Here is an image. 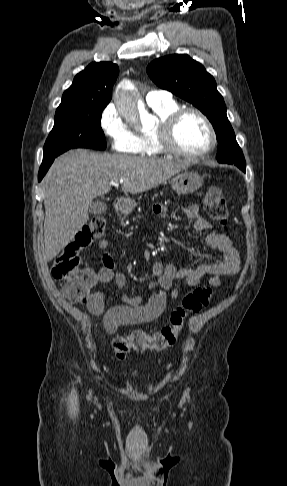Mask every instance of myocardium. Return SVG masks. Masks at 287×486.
I'll list each match as a JSON object with an SVG mask.
<instances>
[{
	"label": "myocardium",
	"instance_id": "obj_1",
	"mask_svg": "<svg viewBox=\"0 0 287 486\" xmlns=\"http://www.w3.org/2000/svg\"><path fill=\"white\" fill-rule=\"evenodd\" d=\"M187 114L197 115L205 124L209 133V144L206 148L196 152H187L177 147L174 141V132L180 119ZM156 138L165 153L188 159L200 158L210 154L217 146V134L214 126L207 115L195 107L178 108L165 119L160 121L156 128Z\"/></svg>",
	"mask_w": 287,
	"mask_h": 486
}]
</instances>
